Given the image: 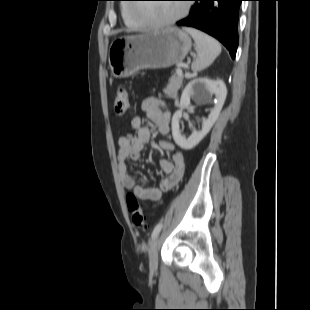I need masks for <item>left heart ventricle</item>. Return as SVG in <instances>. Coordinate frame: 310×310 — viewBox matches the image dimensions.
Returning <instances> with one entry per match:
<instances>
[{
  "label": "left heart ventricle",
  "instance_id": "b2bd125f",
  "mask_svg": "<svg viewBox=\"0 0 310 310\" xmlns=\"http://www.w3.org/2000/svg\"><path fill=\"white\" fill-rule=\"evenodd\" d=\"M182 10L181 4L157 3L142 5L136 8V13L154 21H164L178 15Z\"/></svg>",
  "mask_w": 310,
  "mask_h": 310
}]
</instances>
